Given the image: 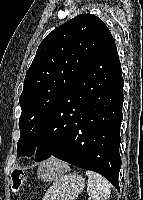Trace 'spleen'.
Segmentation results:
<instances>
[{
	"instance_id": "1",
	"label": "spleen",
	"mask_w": 143,
	"mask_h": 200,
	"mask_svg": "<svg viewBox=\"0 0 143 200\" xmlns=\"http://www.w3.org/2000/svg\"><path fill=\"white\" fill-rule=\"evenodd\" d=\"M88 177L87 193L92 200H107L111 190L108 181L100 174L93 171H86Z\"/></svg>"
}]
</instances>
